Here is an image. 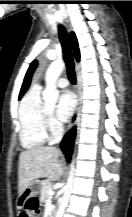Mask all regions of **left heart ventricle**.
<instances>
[{
	"mask_svg": "<svg viewBox=\"0 0 132 217\" xmlns=\"http://www.w3.org/2000/svg\"><path fill=\"white\" fill-rule=\"evenodd\" d=\"M47 110L50 112L52 110V107L51 106L47 107Z\"/></svg>",
	"mask_w": 132,
	"mask_h": 217,
	"instance_id": "1",
	"label": "left heart ventricle"
}]
</instances>
